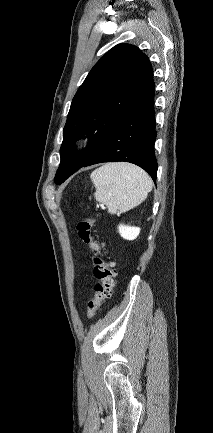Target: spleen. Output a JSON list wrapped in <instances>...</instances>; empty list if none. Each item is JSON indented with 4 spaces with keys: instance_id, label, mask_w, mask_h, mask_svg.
Masks as SVG:
<instances>
[{
    "instance_id": "obj_1",
    "label": "spleen",
    "mask_w": 213,
    "mask_h": 433,
    "mask_svg": "<svg viewBox=\"0 0 213 433\" xmlns=\"http://www.w3.org/2000/svg\"><path fill=\"white\" fill-rule=\"evenodd\" d=\"M96 200L110 214L120 215L140 205L152 190V180L141 168L130 163H108L91 174Z\"/></svg>"
}]
</instances>
